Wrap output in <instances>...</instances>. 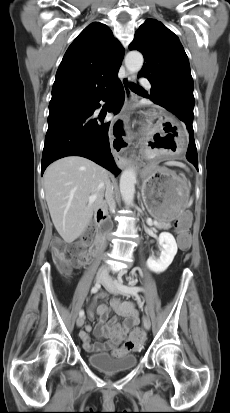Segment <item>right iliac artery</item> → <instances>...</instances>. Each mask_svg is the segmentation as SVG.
Instances as JSON below:
<instances>
[{
  "label": "right iliac artery",
  "mask_w": 230,
  "mask_h": 413,
  "mask_svg": "<svg viewBox=\"0 0 230 413\" xmlns=\"http://www.w3.org/2000/svg\"><path fill=\"white\" fill-rule=\"evenodd\" d=\"M99 289H100V284H99V283H96V284L92 287L91 293H96V292H98ZM79 316H84V311H83V310H81V311L79 312Z\"/></svg>",
  "instance_id": "1"
}]
</instances>
